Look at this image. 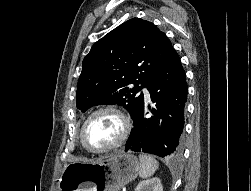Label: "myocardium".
Returning a JSON list of instances; mask_svg holds the SVG:
<instances>
[{"label": "myocardium", "instance_id": "obj_1", "mask_svg": "<svg viewBox=\"0 0 251 191\" xmlns=\"http://www.w3.org/2000/svg\"><path fill=\"white\" fill-rule=\"evenodd\" d=\"M101 112H111L117 116V118L120 120V123H121V133H120L118 140L116 142H114L110 147H108L102 151H92V150L88 149L84 144L83 132H84L85 126L88 123V121L94 115L101 113ZM130 127H131V124H130L129 119L118 108L111 106V105L100 106V107L96 108L95 110L91 111L84 119V121L80 127L79 133H78V145L83 152H85L86 154H89V155L101 156V155L107 154V153L111 152L112 150L120 147L125 142V140L128 137Z\"/></svg>", "mask_w": 251, "mask_h": 191}]
</instances>
